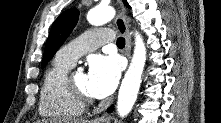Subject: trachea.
Returning a JSON list of instances; mask_svg holds the SVG:
<instances>
[{
  "mask_svg": "<svg viewBox=\"0 0 221 123\" xmlns=\"http://www.w3.org/2000/svg\"><path fill=\"white\" fill-rule=\"evenodd\" d=\"M117 46L124 47L125 46V39L123 37H119L117 39Z\"/></svg>",
  "mask_w": 221,
  "mask_h": 123,
  "instance_id": "obj_1",
  "label": "trachea"
}]
</instances>
